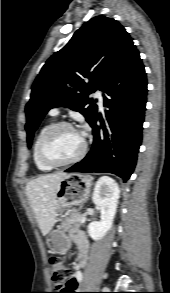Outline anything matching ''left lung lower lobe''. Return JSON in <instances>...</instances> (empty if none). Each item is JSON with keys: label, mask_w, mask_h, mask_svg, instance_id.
Listing matches in <instances>:
<instances>
[{"label": "left lung lower lobe", "mask_w": 170, "mask_h": 293, "mask_svg": "<svg viewBox=\"0 0 170 293\" xmlns=\"http://www.w3.org/2000/svg\"><path fill=\"white\" fill-rule=\"evenodd\" d=\"M105 120L97 114L91 151L65 172H106L128 180L142 141L147 79L139 52L133 46L104 86ZM100 120L101 126L96 125Z\"/></svg>", "instance_id": "1"}]
</instances>
